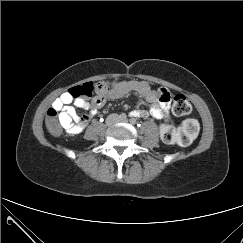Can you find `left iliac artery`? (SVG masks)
Instances as JSON below:
<instances>
[{
  "instance_id": "44dca946",
  "label": "left iliac artery",
  "mask_w": 243,
  "mask_h": 243,
  "mask_svg": "<svg viewBox=\"0 0 243 243\" xmlns=\"http://www.w3.org/2000/svg\"><path fill=\"white\" fill-rule=\"evenodd\" d=\"M130 123L133 124V125L136 124V119L135 118H131L130 119Z\"/></svg>"
}]
</instances>
